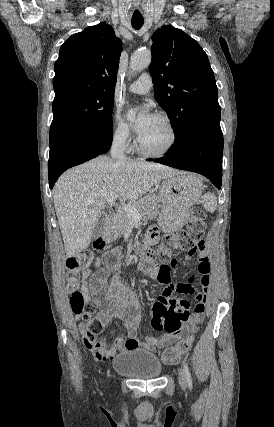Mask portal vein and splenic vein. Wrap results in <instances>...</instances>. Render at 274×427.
<instances>
[{"label": "portal vein and splenic vein", "instance_id": "obj_1", "mask_svg": "<svg viewBox=\"0 0 274 427\" xmlns=\"http://www.w3.org/2000/svg\"><path fill=\"white\" fill-rule=\"evenodd\" d=\"M107 202L110 206H115L116 196H110V198H107ZM118 208L119 210H122V212H125L129 219H138L139 221L141 215L138 210H135L134 206H131V204H128V206H126V204H121Z\"/></svg>", "mask_w": 274, "mask_h": 427}]
</instances>
